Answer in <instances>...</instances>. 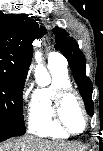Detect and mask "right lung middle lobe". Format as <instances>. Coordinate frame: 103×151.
I'll return each mask as SVG.
<instances>
[{"mask_svg":"<svg viewBox=\"0 0 103 151\" xmlns=\"http://www.w3.org/2000/svg\"><path fill=\"white\" fill-rule=\"evenodd\" d=\"M25 78L0 71V141L25 134L22 91Z\"/></svg>","mask_w":103,"mask_h":151,"instance_id":"1","label":"right lung middle lobe"}]
</instances>
